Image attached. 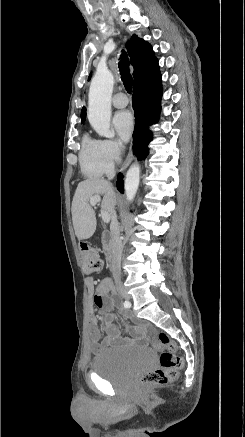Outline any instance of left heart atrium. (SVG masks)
I'll use <instances>...</instances> for the list:
<instances>
[{
  "label": "left heart atrium",
  "instance_id": "1",
  "mask_svg": "<svg viewBox=\"0 0 245 437\" xmlns=\"http://www.w3.org/2000/svg\"><path fill=\"white\" fill-rule=\"evenodd\" d=\"M135 126L134 117L129 111H120L113 118V127L123 141H128Z\"/></svg>",
  "mask_w": 245,
  "mask_h": 437
}]
</instances>
